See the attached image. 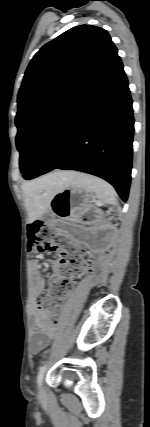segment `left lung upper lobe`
<instances>
[{
  "instance_id": "obj_1",
  "label": "left lung upper lobe",
  "mask_w": 150,
  "mask_h": 427,
  "mask_svg": "<svg viewBox=\"0 0 150 427\" xmlns=\"http://www.w3.org/2000/svg\"><path fill=\"white\" fill-rule=\"evenodd\" d=\"M116 54L107 31L93 25L71 28L36 53L18 93L15 119L23 174L50 126Z\"/></svg>"
}]
</instances>
